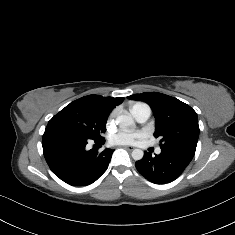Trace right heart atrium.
<instances>
[{"label": "right heart atrium", "mask_w": 235, "mask_h": 235, "mask_svg": "<svg viewBox=\"0 0 235 235\" xmlns=\"http://www.w3.org/2000/svg\"><path fill=\"white\" fill-rule=\"evenodd\" d=\"M115 114H116V112L113 111V112L109 115V118H108V122H109V123L113 121V119H114V117H115Z\"/></svg>", "instance_id": "right-heart-atrium-1"}]
</instances>
